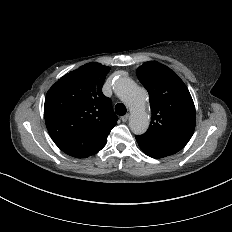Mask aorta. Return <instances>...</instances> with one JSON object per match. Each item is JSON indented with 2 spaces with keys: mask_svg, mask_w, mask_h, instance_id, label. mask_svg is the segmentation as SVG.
<instances>
[{
  "mask_svg": "<svg viewBox=\"0 0 232 232\" xmlns=\"http://www.w3.org/2000/svg\"><path fill=\"white\" fill-rule=\"evenodd\" d=\"M113 90L129 107V127L137 135L143 134L149 127L150 117L146 110L148 93L132 79L119 77L113 83Z\"/></svg>",
  "mask_w": 232,
  "mask_h": 232,
  "instance_id": "1",
  "label": "aorta"
}]
</instances>
